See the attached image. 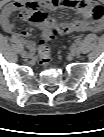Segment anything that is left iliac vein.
Returning a JSON list of instances; mask_svg holds the SVG:
<instances>
[{"label": "left iliac vein", "instance_id": "left-iliac-vein-1", "mask_svg": "<svg viewBox=\"0 0 104 137\" xmlns=\"http://www.w3.org/2000/svg\"><path fill=\"white\" fill-rule=\"evenodd\" d=\"M80 53H81V49H80L79 47H74V48L72 49V54H73L74 56H78V55H80Z\"/></svg>", "mask_w": 104, "mask_h": 137}]
</instances>
